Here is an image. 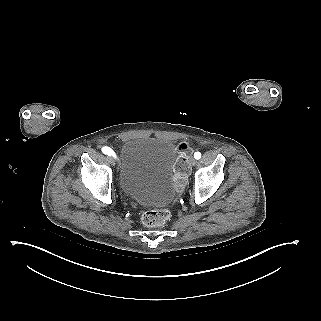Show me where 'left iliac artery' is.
<instances>
[{"mask_svg":"<svg viewBox=\"0 0 321 321\" xmlns=\"http://www.w3.org/2000/svg\"><path fill=\"white\" fill-rule=\"evenodd\" d=\"M194 157H195V159H200L201 158V153L200 152H195Z\"/></svg>","mask_w":321,"mask_h":321,"instance_id":"obj_1","label":"left iliac artery"}]
</instances>
